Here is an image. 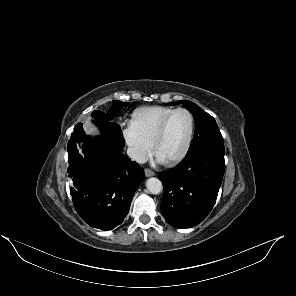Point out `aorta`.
I'll list each match as a JSON object with an SVG mask.
<instances>
[{
	"label": "aorta",
	"mask_w": 296,
	"mask_h": 296,
	"mask_svg": "<svg viewBox=\"0 0 296 296\" xmlns=\"http://www.w3.org/2000/svg\"><path fill=\"white\" fill-rule=\"evenodd\" d=\"M146 188L152 194H159L162 189V182L158 178H149L146 181Z\"/></svg>",
	"instance_id": "762f6f07"
}]
</instances>
